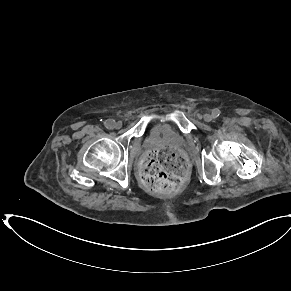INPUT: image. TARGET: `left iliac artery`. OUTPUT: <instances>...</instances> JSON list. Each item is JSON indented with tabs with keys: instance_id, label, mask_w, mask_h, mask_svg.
<instances>
[{
	"instance_id": "1",
	"label": "left iliac artery",
	"mask_w": 291,
	"mask_h": 291,
	"mask_svg": "<svg viewBox=\"0 0 291 291\" xmlns=\"http://www.w3.org/2000/svg\"><path fill=\"white\" fill-rule=\"evenodd\" d=\"M219 115H220V110L219 109H214L212 111L213 118H217Z\"/></svg>"
}]
</instances>
